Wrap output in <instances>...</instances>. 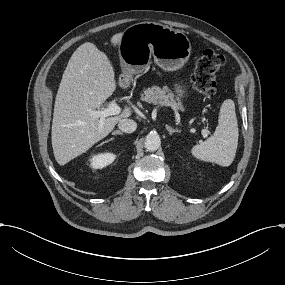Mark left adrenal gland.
<instances>
[{
  "instance_id": "left-adrenal-gland-1",
  "label": "left adrenal gland",
  "mask_w": 285,
  "mask_h": 285,
  "mask_svg": "<svg viewBox=\"0 0 285 285\" xmlns=\"http://www.w3.org/2000/svg\"><path fill=\"white\" fill-rule=\"evenodd\" d=\"M165 127H166V129L169 131V134L170 135H172L174 132H181V130H179V129H174V128H172V127H170L169 125H165Z\"/></svg>"
}]
</instances>
